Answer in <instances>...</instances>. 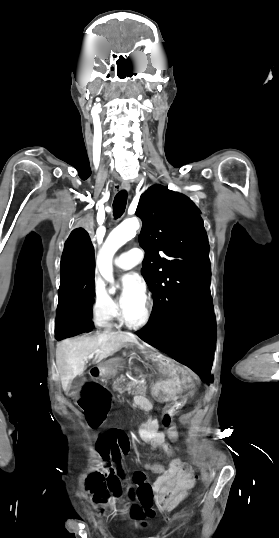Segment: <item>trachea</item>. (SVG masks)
<instances>
[{"instance_id":"3493384b","label":"trachea","mask_w":279,"mask_h":538,"mask_svg":"<svg viewBox=\"0 0 279 538\" xmlns=\"http://www.w3.org/2000/svg\"><path fill=\"white\" fill-rule=\"evenodd\" d=\"M127 204V192L126 190H121L117 193L113 201V215L114 218H120L125 212Z\"/></svg>"}]
</instances>
